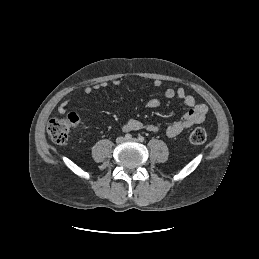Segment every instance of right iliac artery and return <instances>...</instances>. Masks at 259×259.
Here are the masks:
<instances>
[{
    "label": "right iliac artery",
    "instance_id": "82829eb1",
    "mask_svg": "<svg viewBox=\"0 0 259 259\" xmlns=\"http://www.w3.org/2000/svg\"><path fill=\"white\" fill-rule=\"evenodd\" d=\"M131 138H132V135H131V134L128 133V134L125 135V139L129 140V139H131Z\"/></svg>",
    "mask_w": 259,
    "mask_h": 259
}]
</instances>
